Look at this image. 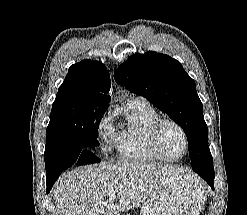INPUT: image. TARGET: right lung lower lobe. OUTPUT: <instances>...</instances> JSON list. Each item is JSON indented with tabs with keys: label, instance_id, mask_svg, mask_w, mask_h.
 <instances>
[{
	"label": "right lung lower lobe",
	"instance_id": "98d812e1",
	"mask_svg": "<svg viewBox=\"0 0 247 215\" xmlns=\"http://www.w3.org/2000/svg\"><path fill=\"white\" fill-rule=\"evenodd\" d=\"M44 159L46 164L47 193L59 175L73 164L80 166L100 162V159L89 149H79L74 145L60 147L54 154Z\"/></svg>",
	"mask_w": 247,
	"mask_h": 215
}]
</instances>
